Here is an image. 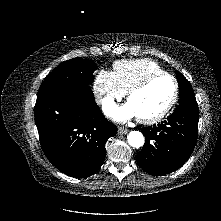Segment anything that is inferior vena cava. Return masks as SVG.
Returning a JSON list of instances; mask_svg holds the SVG:
<instances>
[{"label":"inferior vena cava","mask_w":221,"mask_h":221,"mask_svg":"<svg viewBox=\"0 0 221 221\" xmlns=\"http://www.w3.org/2000/svg\"><path fill=\"white\" fill-rule=\"evenodd\" d=\"M96 98H97V102L101 103V101L104 97H103V95L98 94Z\"/></svg>","instance_id":"inferior-vena-cava-1"}]
</instances>
